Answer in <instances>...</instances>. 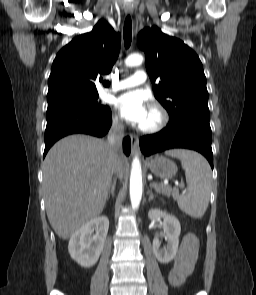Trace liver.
I'll return each instance as SVG.
<instances>
[{"label": "liver", "mask_w": 256, "mask_h": 295, "mask_svg": "<svg viewBox=\"0 0 256 295\" xmlns=\"http://www.w3.org/2000/svg\"><path fill=\"white\" fill-rule=\"evenodd\" d=\"M127 159L115 162L108 143L86 135L59 140L43 162V188L47 217L62 239L98 217L117 173L123 177Z\"/></svg>", "instance_id": "obj_1"}]
</instances>
